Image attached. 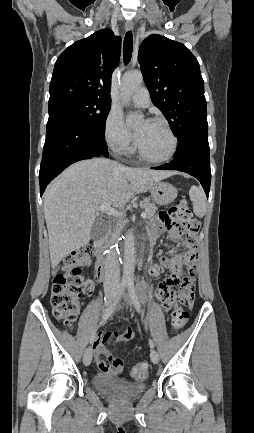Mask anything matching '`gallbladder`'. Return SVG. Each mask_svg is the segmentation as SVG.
Instances as JSON below:
<instances>
[{"mask_svg": "<svg viewBox=\"0 0 254 433\" xmlns=\"http://www.w3.org/2000/svg\"><path fill=\"white\" fill-rule=\"evenodd\" d=\"M107 230V223L102 219H96L91 227V238L93 240H100L106 235Z\"/></svg>", "mask_w": 254, "mask_h": 433, "instance_id": "obj_1", "label": "gallbladder"}]
</instances>
